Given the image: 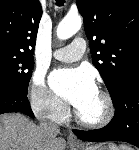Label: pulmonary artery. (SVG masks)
Instances as JSON below:
<instances>
[{"instance_id": "obj_1", "label": "pulmonary artery", "mask_w": 139, "mask_h": 150, "mask_svg": "<svg viewBox=\"0 0 139 150\" xmlns=\"http://www.w3.org/2000/svg\"><path fill=\"white\" fill-rule=\"evenodd\" d=\"M86 43L83 38H76L73 42L53 52L55 59L63 62H74L79 60L85 52Z\"/></svg>"}]
</instances>
